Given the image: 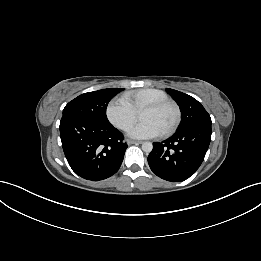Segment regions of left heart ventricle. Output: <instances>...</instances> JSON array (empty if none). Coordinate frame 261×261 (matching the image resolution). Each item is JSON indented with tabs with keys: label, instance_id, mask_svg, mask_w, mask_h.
Segmentation results:
<instances>
[{
	"label": "left heart ventricle",
	"instance_id": "b2bd125f",
	"mask_svg": "<svg viewBox=\"0 0 261 261\" xmlns=\"http://www.w3.org/2000/svg\"><path fill=\"white\" fill-rule=\"evenodd\" d=\"M174 116V110L168 107L161 110L145 109L140 117L142 120L155 122L164 132L173 122Z\"/></svg>",
	"mask_w": 261,
	"mask_h": 261
}]
</instances>
